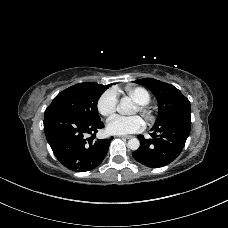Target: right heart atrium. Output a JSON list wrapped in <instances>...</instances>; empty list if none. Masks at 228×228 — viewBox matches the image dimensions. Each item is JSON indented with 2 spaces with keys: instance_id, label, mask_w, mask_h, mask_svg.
<instances>
[{
  "instance_id": "right-heart-atrium-1",
  "label": "right heart atrium",
  "mask_w": 228,
  "mask_h": 228,
  "mask_svg": "<svg viewBox=\"0 0 228 228\" xmlns=\"http://www.w3.org/2000/svg\"><path fill=\"white\" fill-rule=\"evenodd\" d=\"M118 103L117 92L113 89L104 91L97 100V110L105 117L112 115Z\"/></svg>"
}]
</instances>
